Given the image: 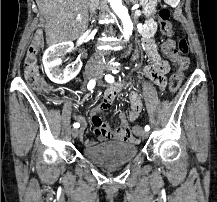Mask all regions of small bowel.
Instances as JSON below:
<instances>
[{"label":"small bowel","mask_w":217,"mask_h":202,"mask_svg":"<svg viewBox=\"0 0 217 202\" xmlns=\"http://www.w3.org/2000/svg\"><path fill=\"white\" fill-rule=\"evenodd\" d=\"M143 46L147 55L151 59L155 60L153 66L145 69L143 74L149 76L150 79L159 86H162L164 74L168 69V64L165 59L158 55L154 40L151 38H146L144 40ZM166 55H170V53L166 52ZM123 85L124 83L109 87L103 94L101 102L91 107L89 110L90 121L95 128L94 134L99 141H116L129 144H137L140 141L142 131H132L129 125V121H135L143 110L142 102L136 92H131L128 95L130 107L129 113L127 118L124 112L120 113L121 124L119 128L111 129L104 118V112L112 107V103L121 91ZM74 118L78 121H83L82 117L77 114L74 115ZM79 137L87 147L93 146L96 143V141L93 139H85L83 130L80 131Z\"/></svg>","instance_id":"obj_1"}]
</instances>
